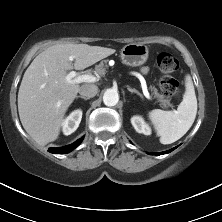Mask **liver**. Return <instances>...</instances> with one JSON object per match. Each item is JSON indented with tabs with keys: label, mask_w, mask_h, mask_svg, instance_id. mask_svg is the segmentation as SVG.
Here are the masks:
<instances>
[{
	"label": "liver",
	"mask_w": 222,
	"mask_h": 222,
	"mask_svg": "<svg viewBox=\"0 0 222 222\" xmlns=\"http://www.w3.org/2000/svg\"><path fill=\"white\" fill-rule=\"evenodd\" d=\"M114 52L112 48L66 43L36 56L21 81L18 112L23 128L38 144L58 138L65 113L80 90L78 83L66 81L67 71L83 70Z\"/></svg>",
	"instance_id": "liver-1"
}]
</instances>
